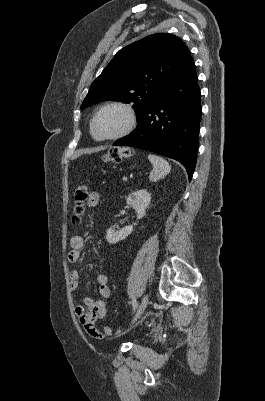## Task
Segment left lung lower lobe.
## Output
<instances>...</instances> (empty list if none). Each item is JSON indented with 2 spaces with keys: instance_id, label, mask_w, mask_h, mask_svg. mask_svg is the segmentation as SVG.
I'll return each mask as SVG.
<instances>
[{
  "instance_id": "0a47b994",
  "label": "left lung lower lobe",
  "mask_w": 265,
  "mask_h": 401,
  "mask_svg": "<svg viewBox=\"0 0 265 401\" xmlns=\"http://www.w3.org/2000/svg\"><path fill=\"white\" fill-rule=\"evenodd\" d=\"M201 120L200 88L193 59L138 119L137 128L113 145L131 146L179 161L191 180Z\"/></svg>"
}]
</instances>
